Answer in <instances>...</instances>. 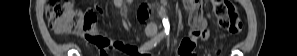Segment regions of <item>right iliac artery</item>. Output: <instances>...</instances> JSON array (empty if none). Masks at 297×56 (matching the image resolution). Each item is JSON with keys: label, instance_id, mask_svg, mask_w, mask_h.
Masks as SVG:
<instances>
[{"label": "right iliac artery", "instance_id": "right-iliac-artery-1", "mask_svg": "<svg viewBox=\"0 0 297 56\" xmlns=\"http://www.w3.org/2000/svg\"><path fill=\"white\" fill-rule=\"evenodd\" d=\"M162 38H163L162 34L155 36L153 39H151L150 41H148L144 45H142L141 48L139 49V51L145 52L147 50H150L151 48L156 46L157 43H159Z\"/></svg>", "mask_w": 297, "mask_h": 56}]
</instances>
